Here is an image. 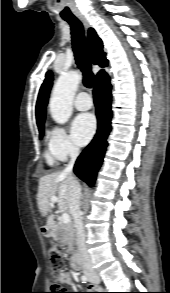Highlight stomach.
<instances>
[{
  "label": "stomach",
  "mask_w": 170,
  "mask_h": 293,
  "mask_svg": "<svg viewBox=\"0 0 170 293\" xmlns=\"http://www.w3.org/2000/svg\"><path fill=\"white\" fill-rule=\"evenodd\" d=\"M52 235V231H47V236H51Z\"/></svg>",
  "instance_id": "stomach-1"
}]
</instances>
